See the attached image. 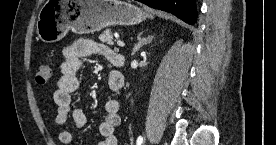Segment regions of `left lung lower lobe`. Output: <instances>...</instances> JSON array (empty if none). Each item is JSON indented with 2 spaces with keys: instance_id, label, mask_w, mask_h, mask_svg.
Listing matches in <instances>:
<instances>
[{
  "instance_id": "left-lung-lower-lobe-1",
  "label": "left lung lower lobe",
  "mask_w": 276,
  "mask_h": 145,
  "mask_svg": "<svg viewBox=\"0 0 276 145\" xmlns=\"http://www.w3.org/2000/svg\"><path fill=\"white\" fill-rule=\"evenodd\" d=\"M152 8L172 13L193 25L197 19L195 0H137Z\"/></svg>"
}]
</instances>
